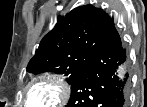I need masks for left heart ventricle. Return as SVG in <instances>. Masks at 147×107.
<instances>
[{"instance_id": "obj_1", "label": "left heart ventricle", "mask_w": 147, "mask_h": 107, "mask_svg": "<svg viewBox=\"0 0 147 107\" xmlns=\"http://www.w3.org/2000/svg\"><path fill=\"white\" fill-rule=\"evenodd\" d=\"M55 98L56 93L53 86L40 84L30 91L28 104L33 106H48Z\"/></svg>"}]
</instances>
